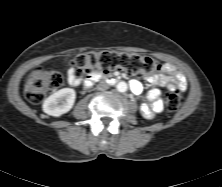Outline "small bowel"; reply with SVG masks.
I'll return each mask as SVG.
<instances>
[{
    "instance_id": "obj_1",
    "label": "small bowel",
    "mask_w": 222,
    "mask_h": 187,
    "mask_svg": "<svg viewBox=\"0 0 222 187\" xmlns=\"http://www.w3.org/2000/svg\"><path fill=\"white\" fill-rule=\"evenodd\" d=\"M145 80L154 86L146 94L147 102L141 104L140 107L142 116L147 120L153 119L163 109V103L160 99V87L177 88L180 90L187 88V80L184 75L168 63L161 66V73L147 75ZM67 81L71 86H78L81 83V79L72 68L67 72ZM131 89L134 94L138 95L142 93L143 86L139 81L134 80L131 83Z\"/></svg>"
}]
</instances>
